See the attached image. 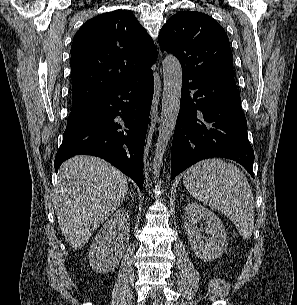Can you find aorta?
Wrapping results in <instances>:
<instances>
[{
	"instance_id": "762f6f07",
	"label": "aorta",
	"mask_w": 297,
	"mask_h": 305,
	"mask_svg": "<svg viewBox=\"0 0 297 305\" xmlns=\"http://www.w3.org/2000/svg\"><path fill=\"white\" fill-rule=\"evenodd\" d=\"M163 98L159 135L156 143L154 167L162 162L167 144L175 129L176 120L180 109L182 90V68L179 60L173 55H167L163 60ZM155 174V179L158 173Z\"/></svg>"
}]
</instances>
